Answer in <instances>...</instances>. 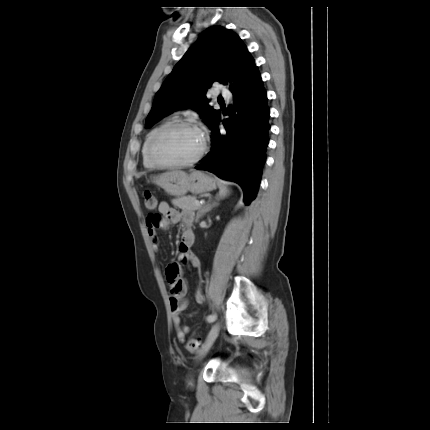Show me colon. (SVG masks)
<instances>
[{"label":"colon","instance_id":"obj_1","mask_svg":"<svg viewBox=\"0 0 430 430\" xmlns=\"http://www.w3.org/2000/svg\"><path fill=\"white\" fill-rule=\"evenodd\" d=\"M145 205L148 209H154L156 206V198L150 191L144 192ZM200 348V340L197 338H190L186 343V349L190 353H196Z\"/></svg>","mask_w":430,"mask_h":430}]
</instances>
